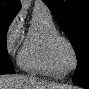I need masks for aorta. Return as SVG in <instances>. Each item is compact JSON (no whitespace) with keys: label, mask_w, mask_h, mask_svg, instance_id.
<instances>
[{"label":"aorta","mask_w":89,"mask_h":89,"mask_svg":"<svg viewBox=\"0 0 89 89\" xmlns=\"http://www.w3.org/2000/svg\"><path fill=\"white\" fill-rule=\"evenodd\" d=\"M21 4H22V8L28 9L31 5V0H22Z\"/></svg>","instance_id":"762f6f07"}]
</instances>
